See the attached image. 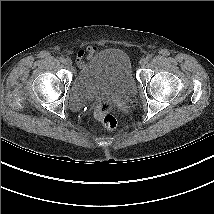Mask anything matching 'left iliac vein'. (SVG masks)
I'll list each match as a JSON object with an SVG mask.
<instances>
[{
	"mask_svg": "<svg viewBox=\"0 0 214 214\" xmlns=\"http://www.w3.org/2000/svg\"><path fill=\"white\" fill-rule=\"evenodd\" d=\"M147 63V60L145 58H142L140 61H139V64L140 66H145V64Z\"/></svg>",
	"mask_w": 214,
	"mask_h": 214,
	"instance_id": "4c4485c4",
	"label": "left iliac vein"
}]
</instances>
